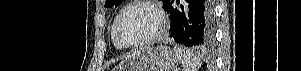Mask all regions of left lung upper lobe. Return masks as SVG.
I'll list each match as a JSON object with an SVG mask.
<instances>
[{
	"mask_svg": "<svg viewBox=\"0 0 301 71\" xmlns=\"http://www.w3.org/2000/svg\"><path fill=\"white\" fill-rule=\"evenodd\" d=\"M168 0H162V2L165 4ZM123 0H106L105 7L111 8V7H117L119 6Z\"/></svg>",
	"mask_w": 301,
	"mask_h": 71,
	"instance_id": "left-lung-upper-lobe-1",
	"label": "left lung upper lobe"
}]
</instances>
